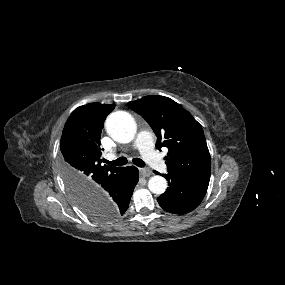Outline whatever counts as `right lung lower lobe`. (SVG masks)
<instances>
[{
    "label": "right lung lower lobe",
    "mask_w": 285,
    "mask_h": 285,
    "mask_svg": "<svg viewBox=\"0 0 285 285\" xmlns=\"http://www.w3.org/2000/svg\"><path fill=\"white\" fill-rule=\"evenodd\" d=\"M138 169L124 167L121 172L103 182L96 194L90 198L92 203L108 205L119 217L128 209L130 198L138 182Z\"/></svg>",
    "instance_id": "obj_1"
}]
</instances>
